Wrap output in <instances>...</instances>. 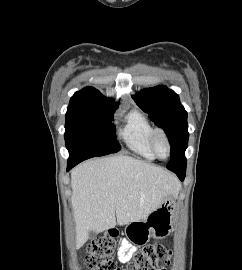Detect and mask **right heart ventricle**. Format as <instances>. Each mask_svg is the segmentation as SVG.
<instances>
[{"label":"right heart ventricle","mask_w":242,"mask_h":270,"mask_svg":"<svg viewBox=\"0 0 242 270\" xmlns=\"http://www.w3.org/2000/svg\"><path fill=\"white\" fill-rule=\"evenodd\" d=\"M154 128L148 118L137 110L130 112L126 118L124 127L120 130V137L125 145L135 154L154 160L150 139Z\"/></svg>","instance_id":"right-heart-ventricle-1"}]
</instances>
